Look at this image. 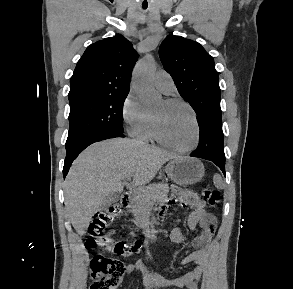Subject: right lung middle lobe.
<instances>
[{
    "label": "right lung middle lobe",
    "mask_w": 293,
    "mask_h": 289,
    "mask_svg": "<svg viewBox=\"0 0 293 289\" xmlns=\"http://www.w3.org/2000/svg\"><path fill=\"white\" fill-rule=\"evenodd\" d=\"M127 95L88 96L70 101V129L66 145L101 131L124 132L123 104Z\"/></svg>",
    "instance_id": "obj_1"
}]
</instances>
